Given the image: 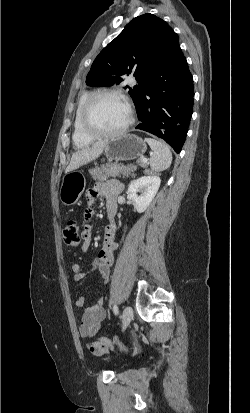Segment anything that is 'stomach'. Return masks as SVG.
I'll return each mask as SVG.
<instances>
[{
  "mask_svg": "<svg viewBox=\"0 0 250 413\" xmlns=\"http://www.w3.org/2000/svg\"><path fill=\"white\" fill-rule=\"evenodd\" d=\"M147 146L142 138L134 134H124L107 140L104 148L108 160H133L142 157ZM85 178L79 172H70L63 177L60 201L67 206L75 204L85 189Z\"/></svg>",
  "mask_w": 250,
  "mask_h": 413,
  "instance_id": "obj_1",
  "label": "stomach"
}]
</instances>
